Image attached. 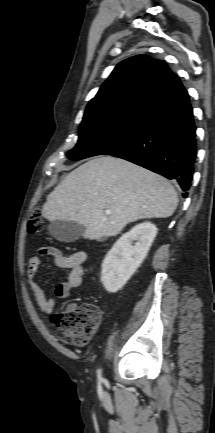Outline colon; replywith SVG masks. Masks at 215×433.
<instances>
[{"label": "colon", "instance_id": "colon-1", "mask_svg": "<svg viewBox=\"0 0 215 433\" xmlns=\"http://www.w3.org/2000/svg\"><path fill=\"white\" fill-rule=\"evenodd\" d=\"M43 227L41 209L35 207L28 219L27 230L34 235L40 233ZM52 322L75 344L86 345L97 331L100 311L96 304L83 303L75 309L55 312L52 315Z\"/></svg>", "mask_w": 215, "mask_h": 433}]
</instances>
